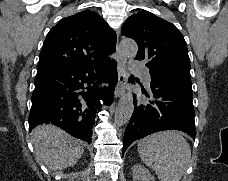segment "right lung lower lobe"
Instances as JSON below:
<instances>
[{
  "label": "right lung lower lobe",
  "mask_w": 228,
  "mask_h": 181,
  "mask_svg": "<svg viewBox=\"0 0 228 181\" xmlns=\"http://www.w3.org/2000/svg\"><path fill=\"white\" fill-rule=\"evenodd\" d=\"M117 81L116 61L109 57L36 75L29 129L52 123L91 143L100 100L112 103Z\"/></svg>",
  "instance_id": "right-lung-lower-lobe-1"
}]
</instances>
